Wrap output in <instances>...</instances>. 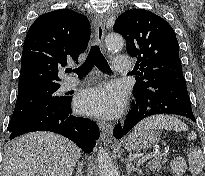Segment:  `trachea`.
I'll return each instance as SVG.
<instances>
[{
    "label": "trachea",
    "mask_w": 205,
    "mask_h": 176,
    "mask_svg": "<svg viewBox=\"0 0 205 176\" xmlns=\"http://www.w3.org/2000/svg\"><path fill=\"white\" fill-rule=\"evenodd\" d=\"M95 65L99 70L103 72H110V67L108 65V62L104 58L98 46L91 47L86 61L74 71L76 72L78 77H82L85 74H87L89 71H91ZM71 71L72 69L70 68L66 69L67 73Z\"/></svg>",
    "instance_id": "trachea-1"
}]
</instances>
